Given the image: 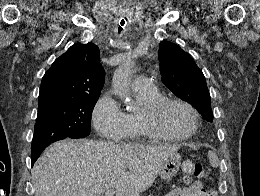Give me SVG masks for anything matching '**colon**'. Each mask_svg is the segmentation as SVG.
<instances>
[{
	"label": "colon",
	"instance_id": "1",
	"mask_svg": "<svg viewBox=\"0 0 260 196\" xmlns=\"http://www.w3.org/2000/svg\"><path fill=\"white\" fill-rule=\"evenodd\" d=\"M181 180L186 184L197 183L203 181L207 177L204 168L196 162L184 161L180 166Z\"/></svg>",
	"mask_w": 260,
	"mask_h": 196
}]
</instances>
